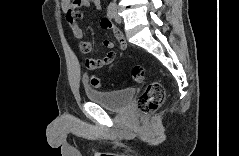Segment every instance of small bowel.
<instances>
[{"mask_svg":"<svg viewBox=\"0 0 239 156\" xmlns=\"http://www.w3.org/2000/svg\"><path fill=\"white\" fill-rule=\"evenodd\" d=\"M91 5H94L97 9L100 8V3L98 1L91 0H62L61 6L65 13L66 20L72 30V33L76 39H81L83 37L82 29L78 25V19L81 17V9L88 8ZM100 27L103 29H111L119 43L121 50L127 48V43L122 35V33L116 29L109 17H105L100 22ZM103 45L108 49V52L104 57L100 59L87 58L85 60V65L90 70H96L102 68L106 65H109L113 62L116 57V52L114 51L115 44L110 40H104ZM80 49L83 53H88L92 49V43L89 41H83L80 44Z\"/></svg>","mask_w":239,"mask_h":156,"instance_id":"c3829d8e","label":"small bowel"}]
</instances>
